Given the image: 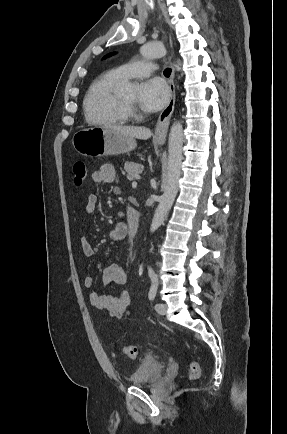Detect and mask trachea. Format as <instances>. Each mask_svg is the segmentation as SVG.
Wrapping results in <instances>:
<instances>
[{
	"label": "trachea",
	"instance_id": "3493384b",
	"mask_svg": "<svg viewBox=\"0 0 287 434\" xmlns=\"http://www.w3.org/2000/svg\"><path fill=\"white\" fill-rule=\"evenodd\" d=\"M170 74H171V69H170V68H167V69L164 70V75H165L166 77H169Z\"/></svg>",
	"mask_w": 287,
	"mask_h": 434
}]
</instances>
